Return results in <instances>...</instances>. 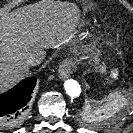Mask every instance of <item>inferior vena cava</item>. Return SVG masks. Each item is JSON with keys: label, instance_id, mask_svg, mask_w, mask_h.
<instances>
[{"label": "inferior vena cava", "instance_id": "inferior-vena-cava-1", "mask_svg": "<svg viewBox=\"0 0 133 133\" xmlns=\"http://www.w3.org/2000/svg\"><path fill=\"white\" fill-rule=\"evenodd\" d=\"M44 60V52L40 51L27 59V63L29 66L39 65Z\"/></svg>", "mask_w": 133, "mask_h": 133}]
</instances>
